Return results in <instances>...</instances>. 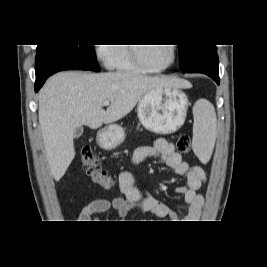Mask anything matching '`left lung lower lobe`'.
Returning <instances> with one entry per match:
<instances>
[{
	"label": "left lung lower lobe",
	"mask_w": 267,
	"mask_h": 267,
	"mask_svg": "<svg viewBox=\"0 0 267 267\" xmlns=\"http://www.w3.org/2000/svg\"><path fill=\"white\" fill-rule=\"evenodd\" d=\"M218 65L217 52L209 53L199 58L184 73H203L210 76L217 84H219Z\"/></svg>",
	"instance_id": "left-lung-lower-lobe-1"
}]
</instances>
